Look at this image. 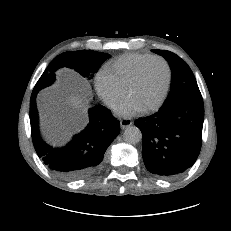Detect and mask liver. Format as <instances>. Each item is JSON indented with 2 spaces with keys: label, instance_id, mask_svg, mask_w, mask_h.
<instances>
[{
  "label": "liver",
  "instance_id": "1",
  "mask_svg": "<svg viewBox=\"0 0 231 231\" xmlns=\"http://www.w3.org/2000/svg\"><path fill=\"white\" fill-rule=\"evenodd\" d=\"M66 105L72 108L75 111L84 109V100L79 95H70L66 98ZM45 114V125H50L55 123L56 121L70 123L72 121L71 118H67L65 116H60L57 112H55L49 105L44 106Z\"/></svg>",
  "mask_w": 231,
  "mask_h": 231
}]
</instances>
